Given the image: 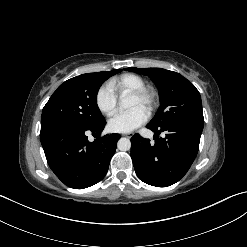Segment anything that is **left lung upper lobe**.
I'll list each match as a JSON object with an SVG mask.
<instances>
[{
	"mask_svg": "<svg viewBox=\"0 0 247 247\" xmlns=\"http://www.w3.org/2000/svg\"><path fill=\"white\" fill-rule=\"evenodd\" d=\"M149 76L159 90L160 107L149 122L161 127L183 119L204 124L201 97L196 87L181 74L161 68H126Z\"/></svg>",
	"mask_w": 247,
	"mask_h": 247,
	"instance_id": "1",
	"label": "left lung upper lobe"
}]
</instances>
